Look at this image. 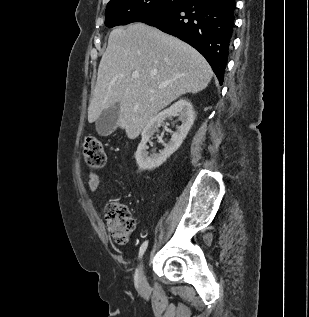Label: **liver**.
<instances>
[{"mask_svg":"<svg viewBox=\"0 0 309 317\" xmlns=\"http://www.w3.org/2000/svg\"><path fill=\"white\" fill-rule=\"evenodd\" d=\"M212 75L205 58L176 37L144 23L115 28L99 64L88 122L118 104V125L135 139L160 110L204 90Z\"/></svg>","mask_w":309,"mask_h":317,"instance_id":"obj_1","label":"liver"}]
</instances>
